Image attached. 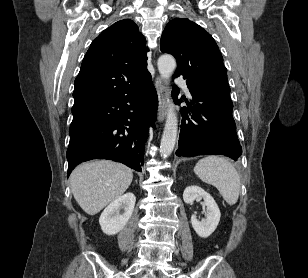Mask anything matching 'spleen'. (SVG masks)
<instances>
[{
	"label": "spleen",
	"instance_id": "spleen-1",
	"mask_svg": "<svg viewBox=\"0 0 308 278\" xmlns=\"http://www.w3.org/2000/svg\"><path fill=\"white\" fill-rule=\"evenodd\" d=\"M194 172L203 182L216 187L229 205L237 203L241 188L240 177L226 158L214 155L204 157L197 162Z\"/></svg>",
	"mask_w": 308,
	"mask_h": 278
}]
</instances>
